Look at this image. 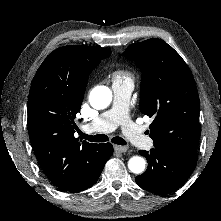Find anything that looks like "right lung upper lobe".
Wrapping results in <instances>:
<instances>
[{"instance_id": "cb5924a9", "label": "right lung upper lobe", "mask_w": 221, "mask_h": 221, "mask_svg": "<svg viewBox=\"0 0 221 221\" xmlns=\"http://www.w3.org/2000/svg\"><path fill=\"white\" fill-rule=\"evenodd\" d=\"M111 50L88 46L56 49L43 61L28 97V133L37 161L51 182L74 191L90 174L100 144L74 136L91 71Z\"/></svg>"}]
</instances>
